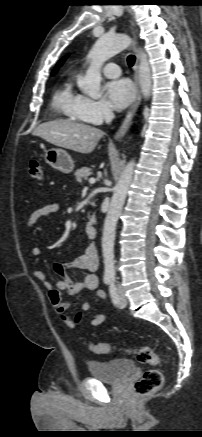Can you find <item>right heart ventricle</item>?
<instances>
[{"label":"right heart ventricle","instance_id":"obj_1","mask_svg":"<svg viewBox=\"0 0 202 437\" xmlns=\"http://www.w3.org/2000/svg\"><path fill=\"white\" fill-rule=\"evenodd\" d=\"M82 95L77 93L73 88L72 78L64 81L53 95L52 105L55 110L68 118L86 122L87 120L80 113V102Z\"/></svg>","mask_w":202,"mask_h":437}]
</instances>
